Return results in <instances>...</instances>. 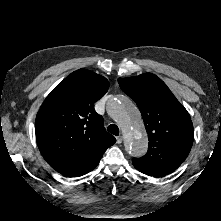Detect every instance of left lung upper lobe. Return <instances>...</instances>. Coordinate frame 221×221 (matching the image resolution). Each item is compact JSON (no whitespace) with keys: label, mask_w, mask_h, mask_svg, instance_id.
I'll use <instances>...</instances> for the list:
<instances>
[{"label":"left lung upper lobe","mask_w":221,"mask_h":221,"mask_svg":"<svg viewBox=\"0 0 221 221\" xmlns=\"http://www.w3.org/2000/svg\"><path fill=\"white\" fill-rule=\"evenodd\" d=\"M118 82L140 109L148 133V151L133 158V165L145 174H169L182 164L192 147L189 113L154 74L119 78Z\"/></svg>","instance_id":"obj_1"}]
</instances>
